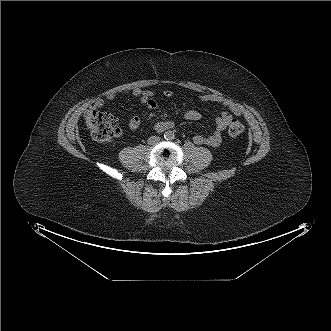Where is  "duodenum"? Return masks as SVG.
Wrapping results in <instances>:
<instances>
[{
    "instance_id": "410a0bca",
    "label": "duodenum",
    "mask_w": 331,
    "mask_h": 331,
    "mask_svg": "<svg viewBox=\"0 0 331 331\" xmlns=\"http://www.w3.org/2000/svg\"><path fill=\"white\" fill-rule=\"evenodd\" d=\"M173 127V124L171 123V124H168L167 126H166V129H170V128H172Z\"/></svg>"
}]
</instances>
